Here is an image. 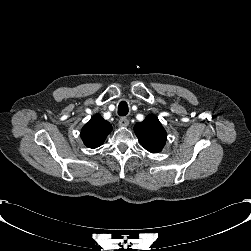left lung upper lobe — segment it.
Segmentation results:
<instances>
[{"instance_id":"1","label":"left lung upper lobe","mask_w":251,"mask_h":251,"mask_svg":"<svg viewBox=\"0 0 251 251\" xmlns=\"http://www.w3.org/2000/svg\"><path fill=\"white\" fill-rule=\"evenodd\" d=\"M134 131L142 146L151 153H158L165 145L166 131L158 118L152 114L144 121L136 123Z\"/></svg>"}]
</instances>
